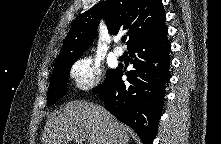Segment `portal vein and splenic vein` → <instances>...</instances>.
I'll return each mask as SVG.
<instances>
[{
    "instance_id": "1",
    "label": "portal vein and splenic vein",
    "mask_w": 221,
    "mask_h": 144,
    "mask_svg": "<svg viewBox=\"0 0 221 144\" xmlns=\"http://www.w3.org/2000/svg\"><path fill=\"white\" fill-rule=\"evenodd\" d=\"M74 140L76 141L77 144H82V140L81 139L75 137Z\"/></svg>"
}]
</instances>
